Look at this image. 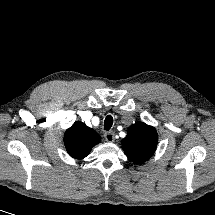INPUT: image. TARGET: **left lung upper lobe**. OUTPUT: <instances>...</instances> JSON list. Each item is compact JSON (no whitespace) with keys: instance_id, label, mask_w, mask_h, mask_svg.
<instances>
[{"instance_id":"obj_1","label":"left lung upper lobe","mask_w":215,"mask_h":215,"mask_svg":"<svg viewBox=\"0 0 215 215\" xmlns=\"http://www.w3.org/2000/svg\"><path fill=\"white\" fill-rule=\"evenodd\" d=\"M157 142L158 135L154 127L136 122L129 127L122 149L133 163L142 164L154 154Z\"/></svg>"}]
</instances>
